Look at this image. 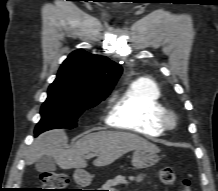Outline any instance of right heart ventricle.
Returning <instances> with one entry per match:
<instances>
[{
    "label": "right heart ventricle",
    "mask_w": 218,
    "mask_h": 191,
    "mask_svg": "<svg viewBox=\"0 0 218 191\" xmlns=\"http://www.w3.org/2000/svg\"><path fill=\"white\" fill-rule=\"evenodd\" d=\"M165 109L159 86L150 79H139L115 99L108 123L146 137H156L165 130L160 120Z\"/></svg>",
    "instance_id": "obj_1"
}]
</instances>
